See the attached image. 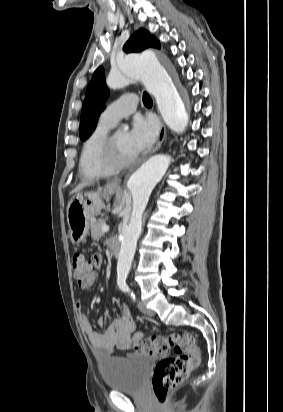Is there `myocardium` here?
Segmentation results:
<instances>
[{
	"instance_id": "myocardium-1",
	"label": "myocardium",
	"mask_w": 283,
	"mask_h": 412,
	"mask_svg": "<svg viewBox=\"0 0 283 412\" xmlns=\"http://www.w3.org/2000/svg\"><path fill=\"white\" fill-rule=\"evenodd\" d=\"M116 135L117 132L108 136L102 152V161L104 165L114 172L129 167L135 163L138 158L137 155H135L129 160L120 159L118 155Z\"/></svg>"
}]
</instances>
